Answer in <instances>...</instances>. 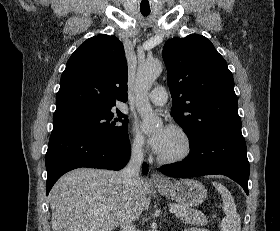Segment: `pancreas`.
<instances>
[{
	"mask_svg": "<svg viewBox=\"0 0 280 231\" xmlns=\"http://www.w3.org/2000/svg\"><path fill=\"white\" fill-rule=\"evenodd\" d=\"M173 207H178L175 215L183 219L184 223H199V225H206L208 223V217L203 215L202 211H197V209H191V207H185V205H180V203H171Z\"/></svg>",
	"mask_w": 280,
	"mask_h": 231,
	"instance_id": "1",
	"label": "pancreas"
}]
</instances>
